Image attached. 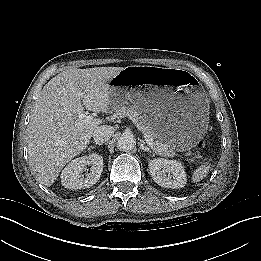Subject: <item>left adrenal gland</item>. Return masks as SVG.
Listing matches in <instances>:
<instances>
[{"mask_svg": "<svg viewBox=\"0 0 261 261\" xmlns=\"http://www.w3.org/2000/svg\"><path fill=\"white\" fill-rule=\"evenodd\" d=\"M140 149H141L142 151H145V152H149V153L152 152V151L150 150V148L145 145V142H144V141H141V142H140Z\"/></svg>", "mask_w": 261, "mask_h": 261, "instance_id": "left-adrenal-gland-1", "label": "left adrenal gland"}]
</instances>
